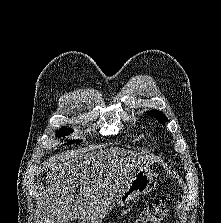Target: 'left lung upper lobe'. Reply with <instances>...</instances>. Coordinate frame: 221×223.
<instances>
[{
  "instance_id": "1",
  "label": "left lung upper lobe",
  "mask_w": 221,
  "mask_h": 223,
  "mask_svg": "<svg viewBox=\"0 0 221 223\" xmlns=\"http://www.w3.org/2000/svg\"><path fill=\"white\" fill-rule=\"evenodd\" d=\"M148 114L156 117V119H158L161 122H166L167 121L166 116L162 112H160L158 110L149 111Z\"/></svg>"
}]
</instances>
